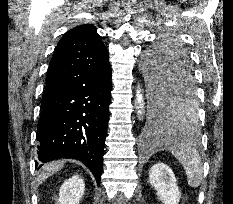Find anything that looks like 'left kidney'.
<instances>
[{
    "label": "left kidney",
    "instance_id": "obj_1",
    "mask_svg": "<svg viewBox=\"0 0 233 204\" xmlns=\"http://www.w3.org/2000/svg\"><path fill=\"white\" fill-rule=\"evenodd\" d=\"M149 182L156 190V195L164 204H178L180 191L173 171L164 163L152 166L149 172Z\"/></svg>",
    "mask_w": 233,
    "mask_h": 204
}]
</instances>
